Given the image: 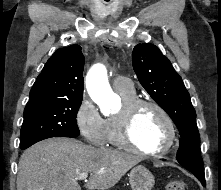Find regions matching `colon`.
Returning a JSON list of instances; mask_svg holds the SVG:
<instances>
[{"instance_id": "1", "label": "colon", "mask_w": 221, "mask_h": 190, "mask_svg": "<svg viewBox=\"0 0 221 190\" xmlns=\"http://www.w3.org/2000/svg\"><path fill=\"white\" fill-rule=\"evenodd\" d=\"M166 190H186V188L182 181H172L167 184Z\"/></svg>"}]
</instances>
